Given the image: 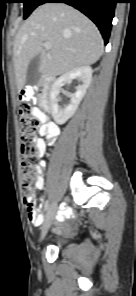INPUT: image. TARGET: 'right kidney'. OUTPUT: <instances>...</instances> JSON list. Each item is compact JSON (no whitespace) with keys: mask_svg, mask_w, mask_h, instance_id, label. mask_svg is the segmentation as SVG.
Instances as JSON below:
<instances>
[{"mask_svg":"<svg viewBox=\"0 0 136 296\" xmlns=\"http://www.w3.org/2000/svg\"><path fill=\"white\" fill-rule=\"evenodd\" d=\"M92 72L90 66H81L61 75L54 81L51 87L50 100L52 116L58 124H64L76 112L91 83ZM74 79L82 82V84L76 87L75 93L69 95L70 103L64 107H60L58 103L61 88L66 83H71Z\"/></svg>","mask_w":136,"mask_h":296,"instance_id":"obj_1","label":"right kidney"}]
</instances>
